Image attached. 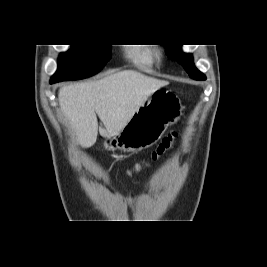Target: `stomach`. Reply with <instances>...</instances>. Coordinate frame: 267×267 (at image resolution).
Wrapping results in <instances>:
<instances>
[{"label":"stomach","instance_id":"0dacf381","mask_svg":"<svg viewBox=\"0 0 267 267\" xmlns=\"http://www.w3.org/2000/svg\"><path fill=\"white\" fill-rule=\"evenodd\" d=\"M182 114L180 100L170 91L158 89L133 114L122 130L106 137V149L135 152L155 144L169 125L176 123Z\"/></svg>","mask_w":267,"mask_h":267}]
</instances>
